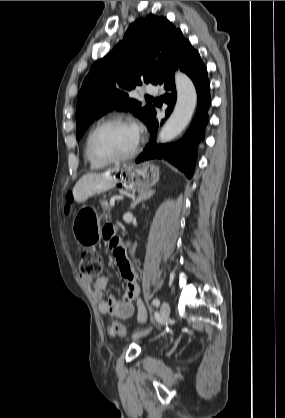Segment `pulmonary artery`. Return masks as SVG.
<instances>
[{"mask_svg":"<svg viewBox=\"0 0 285 418\" xmlns=\"http://www.w3.org/2000/svg\"><path fill=\"white\" fill-rule=\"evenodd\" d=\"M145 92L150 95H157L159 93V88L156 86H147Z\"/></svg>","mask_w":285,"mask_h":418,"instance_id":"e3ab8cb5","label":"pulmonary artery"}]
</instances>
